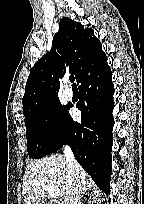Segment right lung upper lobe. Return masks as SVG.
<instances>
[{
  "label": "right lung upper lobe",
  "mask_w": 144,
  "mask_h": 204,
  "mask_svg": "<svg viewBox=\"0 0 144 204\" xmlns=\"http://www.w3.org/2000/svg\"><path fill=\"white\" fill-rule=\"evenodd\" d=\"M102 44L92 29L62 18L52 48L33 66L25 86L23 113L27 117L47 103L58 99L59 78L73 73L77 83L106 60Z\"/></svg>",
  "instance_id": "obj_1"
}]
</instances>
